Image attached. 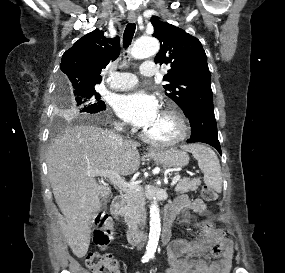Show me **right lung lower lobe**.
Masks as SVG:
<instances>
[{"label": "right lung lower lobe", "instance_id": "98d812e1", "mask_svg": "<svg viewBox=\"0 0 285 273\" xmlns=\"http://www.w3.org/2000/svg\"><path fill=\"white\" fill-rule=\"evenodd\" d=\"M105 109V106L100 110V111H102V110H104Z\"/></svg>", "mask_w": 285, "mask_h": 273}]
</instances>
